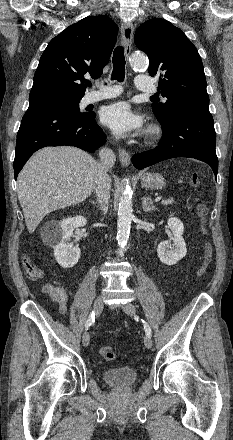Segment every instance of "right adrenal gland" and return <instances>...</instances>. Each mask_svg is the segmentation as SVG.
Here are the masks:
<instances>
[{"label": "right adrenal gland", "mask_w": 233, "mask_h": 440, "mask_svg": "<svg viewBox=\"0 0 233 440\" xmlns=\"http://www.w3.org/2000/svg\"><path fill=\"white\" fill-rule=\"evenodd\" d=\"M90 203H91L92 205L96 206V202H94V201H90Z\"/></svg>", "instance_id": "1"}]
</instances>
